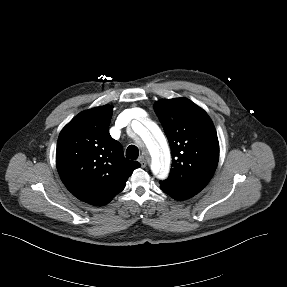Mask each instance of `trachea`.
Masks as SVG:
<instances>
[{
  "instance_id": "3493384b",
  "label": "trachea",
  "mask_w": 287,
  "mask_h": 287,
  "mask_svg": "<svg viewBox=\"0 0 287 287\" xmlns=\"http://www.w3.org/2000/svg\"><path fill=\"white\" fill-rule=\"evenodd\" d=\"M139 156V150L136 146L130 145L126 150V157L132 160L137 159Z\"/></svg>"
}]
</instances>
